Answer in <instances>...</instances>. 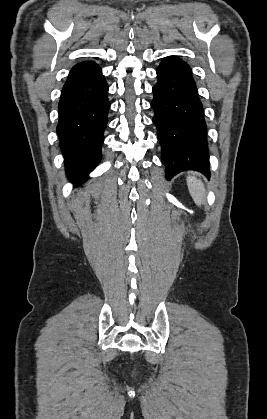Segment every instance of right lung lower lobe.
<instances>
[{"label":"right lung lower lobe","instance_id":"right-lung-lower-lobe-1","mask_svg":"<svg viewBox=\"0 0 267 419\" xmlns=\"http://www.w3.org/2000/svg\"><path fill=\"white\" fill-rule=\"evenodd\" d=\"M108 85L101 68L82 62L70 71L58 105L57 134L66 175L75 185L86 181L101 160V146L110 108Z\"/></svg>","mask_w":267,"mask_h":419}]
</instances>
